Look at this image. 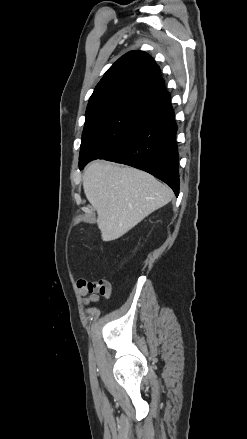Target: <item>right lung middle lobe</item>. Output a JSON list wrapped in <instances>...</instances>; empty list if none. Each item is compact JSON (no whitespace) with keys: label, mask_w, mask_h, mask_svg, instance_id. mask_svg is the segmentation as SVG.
Masks as SVG:
<instances>
[{"label":"right lung middle lobe","mask_w":247,"mask_h":439,"mask_svg":"<svg viewBox=\"0 0 247 439\" xmlns=\"http://www.w3.org/2000/svg\"><path fill=\"white\" fill-rule=\"evenodd\" d=\"M154 113L128 102H109L86 111L80 168L125 141Z\"/></svg>","instance_id":"dd1d6c3e"}]
</instances>
